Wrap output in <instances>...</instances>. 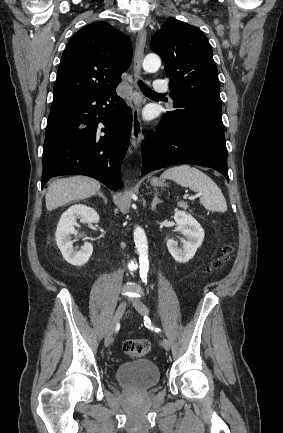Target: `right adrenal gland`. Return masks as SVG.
I'll return each mask as SVG.
<instances>
[{
    "label": "right adrenal gland",
    "instance_id": "obj_1",
    "mask_svg": "<svg viewBox=\"0 0 283 433\" xmlns=\"http://www.w3.org/2000/svg\"><path fill=\"white\" fill-rule=\"evenodd\" d=\"M96 194H99V196H102L104 202H106V204H107L108 200H107L105 194H103L102 190H98V192H96Z\"/></svg>",
    "mask_w": 283,
    "mask_h": 433
}]
</instances>
